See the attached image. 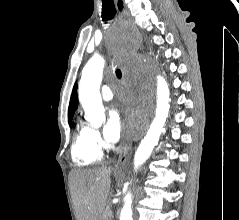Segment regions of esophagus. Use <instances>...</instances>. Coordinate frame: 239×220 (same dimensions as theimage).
<instances>
[{
	"mask_svg": "<svg viewBox=\"0 0 239 220\" xmlns=\"http://www.w3.org/2000/svg\"><path fill=\"white\" fill-rule=\"evenodd\" d=\"M115 3H116V6H117V10L118 12H120L121 15H128V12L127 10L125 9L124 7V3H123V0H115ZM148 125V123H147ZM131 145L128 144L124 147L122 153L120 154L117 162L115 163V169H122L125 164L127 163L129 157H130V154H131Z\"/></svg>",
	"mask_w": 239,
	"mask_h": 220,
	"instance_id": "esophagus-1",
	"label": "esophagus"
}]
</instances>
